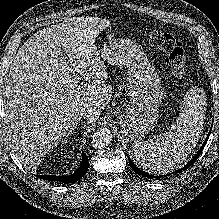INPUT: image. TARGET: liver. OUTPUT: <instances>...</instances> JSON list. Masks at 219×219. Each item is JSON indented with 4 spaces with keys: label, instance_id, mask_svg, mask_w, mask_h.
<instances>
[{
    "label": "liver",
    "instance_id": "6515ba94",
    "mask_svg": "<svg viewBox=\"0 0 219 219\" xmlns=\"http://www.w3.org/2000/svg\"><path fill=\"white\" fill-rule=\"evenodd\" d=\"M109 23L68 18L39 30L18 50L5 80L3 116L9 141L28 166L35 168L78 125L76 109H89L92 123L110 102L112 88L94 40ZM71 72L86 82L73 80Z\"/></svg>",
    "mask_w": 219,
    "mask_h": 219
}]
</instances>
